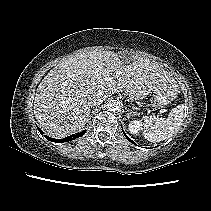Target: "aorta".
Listing matches in <instances>:
<instances>
[{
	"label": "aorta",
	"mask_w": 211,
	"mask_h": 211,
	"mask_svg": "<svg viewBox=\"0 0 211 211\" xmlns=\"http://www.w3.org/2000/svg\"><path fill=\"white\" fill-rule=\"evenodd\" d=\"M107 107L110 111H118L120 108V103L117 100H111L107 104Z\"/></svg>",
	"instance_id": "obj_1"
}]
</instances>
